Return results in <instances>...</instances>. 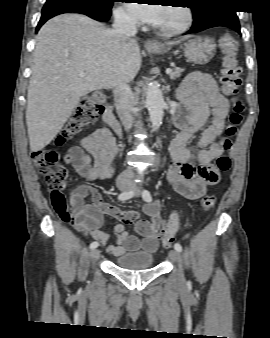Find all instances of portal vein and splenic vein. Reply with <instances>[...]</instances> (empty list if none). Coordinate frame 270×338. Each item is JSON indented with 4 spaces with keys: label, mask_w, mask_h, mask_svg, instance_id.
I'll use <instances>...</instances> for the list:
<instances>
[{
    "label": "portal vein and splenic vein",
    "mask_w": 270,
    "mask_h": 338,
    "mask_svg": "<svg viewBox=\"0 0 270 338\" xmlns=\"http://www.w3.org/2000/svg\"><path fill=\"white\" fill-rule=\"evenodd\" d=\"M172 72V69L171 68H167L166 69V74H170ZM79 76L80 77H84L85 76V73L83 71H80L79 72Z\"/></svg>",
    "instance_id": "18ae733b"
}]
</instances>
